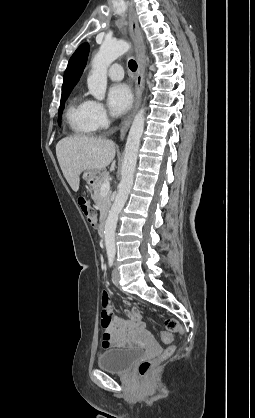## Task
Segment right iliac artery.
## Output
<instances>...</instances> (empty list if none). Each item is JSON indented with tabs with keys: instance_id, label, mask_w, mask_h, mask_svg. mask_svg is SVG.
Returning <instances> with one entry per match:
<instances>
[{
	"instance_id": "1",
	"label": "right iliac artery",
	"mask_w": 255,
	"mask_h": 418,
	"mask_svg": "<svg viewBox=\"0 0 255 418\" xmlns=\"http://www.w3.org/2000/svg\"><path fill=\"white\" fill-rule=\"evenodd\" d=\"M113 262H114V257L110 256L108 258L109 267H112L113 266Z\"/></svg>"
}]
</instances>
